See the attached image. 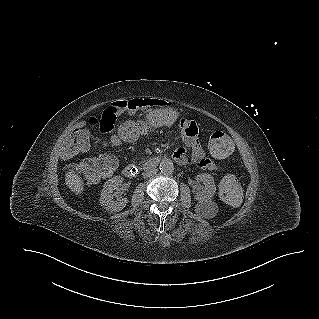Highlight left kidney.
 Returning <instances> with one entry per match:
<instances>
[{"label": "left kidney", "instance_id": "left-kidney-1", "mask_svg": "<svg viewBox=\"0 0 319 319\" xmlns=\"http://www.w3.org/2000/svg\"><path fill=\"white\" fill-rule=\"evenodd\" d=\"M196 180L203 182L205 187L202 191H198L196 193L195 199L203 205H208L216 209L217 206L212 202V198L216 192V186L213 176L210 174L203 173L197 175Z\"/></svg>", "mask_w": 319, "mask_h": 319}]
</instances>
